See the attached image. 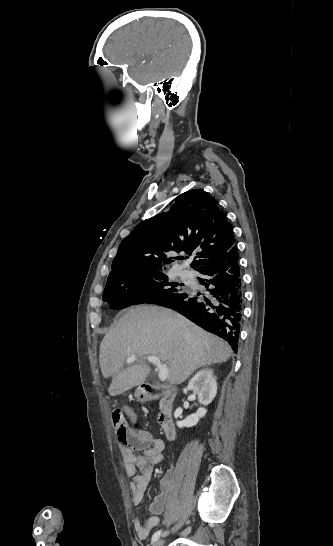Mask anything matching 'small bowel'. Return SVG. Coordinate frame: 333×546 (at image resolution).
<instances>
[{"instance_id": "small-bowel-1", "label": "small bowel", "mask_w": 333, "mask_h": 546, "mask_svg": "<svg viewBox=\"0 0 333 546\" xmlns=\"http://www.w3.org/2000/svg\"><path fill=\"white\" fill-rule=\"evenodd\" d=\"M131 424L136 423V414L128 406L123 407ZM131 445L120 446L122 462L127 476L131 478L130 487L132 502L140 505L149 487L155 466L162 461L165 443L162 439L153 437L151 434L132 428L130 432ZM135 451H143V455H137ZM172 497V488L168 479L161 482V492L155 497L150 505L152 516L142 519L138 517L134 523L136 532L140 537H146L160 524V515L166 504Z\"/></svg>"}]
</instances>
